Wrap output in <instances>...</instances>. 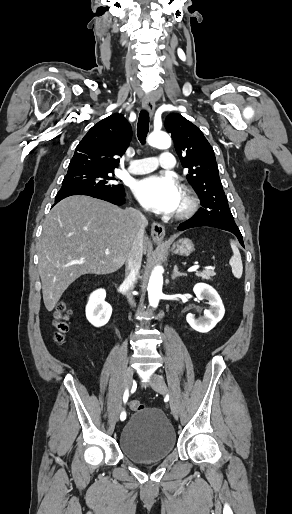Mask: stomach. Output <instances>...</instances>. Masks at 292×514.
<instances>
[{"label":"stomach","mask_w":292,"mask_h":514,"mask_svg":"<svg viewBox=\"0 0 292 514\" xmlns=\"http://www.w3.org/2000/svg\"><path fill=\"white\" fill-rule=\"evenodd\" d=\"M156 244H160V242H156ZM172 250L174 254H179V256H190L194 250V244L191 240H179L176 244H173Z\"/></svg>","instance_id":"stomach-1"}]
</instances>
